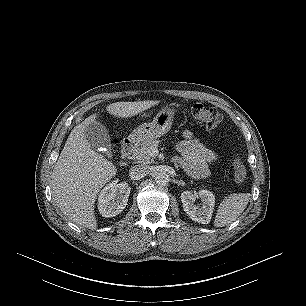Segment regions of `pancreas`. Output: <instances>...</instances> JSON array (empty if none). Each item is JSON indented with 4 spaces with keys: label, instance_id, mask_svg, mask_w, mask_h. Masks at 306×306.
I'll return each instance as SVG.
<instances>
[{
    "label": "pancreas",
    "instance_id": "pancreas-1",
    "mask_svg": "<svg viewBox=\"0 0 306 306\" xmlns=\"http://www.w3.org/2000/svg\"><path fill=\"white\" fill-rule=\"evenodd\" d=\"M159 144L158 140H155L153 142L144 144L140 148L136 149L133 152L132 159L141 164H151L154 162V159L151 156V149L157 148Z\"/></svg>",
    "mask_w": 306,
    "mask_h": 306
}]
</instances>
